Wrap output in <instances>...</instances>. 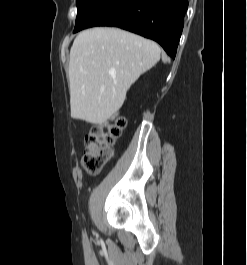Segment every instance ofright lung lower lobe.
Returning a JSON list of instances; mask_svg holds the SVG:
<instances>
[{
    "instance_id": "98d812e1",
    "label": "right lung lower lobe",
    "mask_w": 247,
    "mask_h": 265,
    "mask_svg": "<svg viewBox=\"0 0 247 265\" xmlns=\"http://www.w3.org/2000/svg\"><path fill=\"white\" fill-rule=\"evenodd\" d=\"M188 0H99L75 26H115L157 41L175 58Z\"/></svg>"
}]
</instances>
